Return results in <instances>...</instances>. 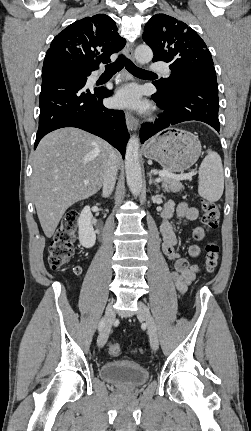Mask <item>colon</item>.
Wrapping results in <instances>:
<instances>
[{"label":"colon","mask_w":251,"mask_h":431,"mask_svg":"<svg viewBox=\"0 0 251 431\" xmlns=\"http://www.w3.org/2000/svg\"><path fill=\"white\" fill-rule=\"evenodd\" d=\"M202 223L209 232H214L219 224L220 212L217 204L209 200H201ZM79 214L76 210H69L63 216L61 223L49 245L48 264L51 269H59L73 256L74 242L77 234ZM220 247L216 241H209L205 246V267L208 273H213L218 265ZM78 273V269H76ZM107 352L116 355L120 351L117 342L106 344Z\"/></svg>","instance_id":"obj_1"}]
</instances>
